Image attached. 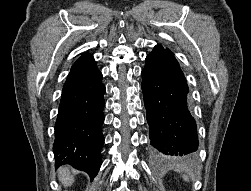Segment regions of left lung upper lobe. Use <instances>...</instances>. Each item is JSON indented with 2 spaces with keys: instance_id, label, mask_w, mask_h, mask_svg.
Segmentation results:
<instances>
[{
  "instance_id": "5c2ea615",
  "label": "left lung upper lobe",
  "mask_w": 251,
  "mask_h": 191,
  "mask_svg": "<svg viewBox=\"0 0 251 191\" xmlns=\"http://www.w3.org/2000/svg\"><path fill=\"white\" fill-rule=\"evenodd\" d=\"M155 48L156 49H164L161 45H157V46H155ZM165 50H167V49H165ZM167 51H169V50H167ZM170 52V51H169Z\"/></svg>"
}]
</instances>
